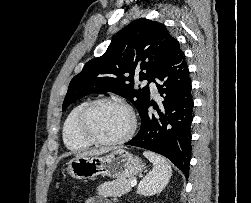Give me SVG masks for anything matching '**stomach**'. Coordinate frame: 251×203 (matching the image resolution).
<instances>
[{"label": "stomach", "instance_id": "1", "mask_svg": "<svg viewBox=\"0 0 251 203\" xmlns=\"http://www.w3.org/2000/svg\"><path fill=\"white\" fill-rule=\"evenodd\" d=\"M145 168L141 158L119 148L106 156H84L73 158L67 167L76 179H92L98 175L126 179L141 173Z\"/></svg>", "mask_w": 251, "mask_h": 203}]
</instances>
